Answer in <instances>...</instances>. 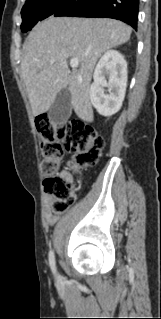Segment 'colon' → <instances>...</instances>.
<instances>
[{
    "instance_id": "colon-1",
    "label": "colon",
    "mask_w": 161,
    "mask_h": 319,
    "mask_svg": "<svg viewBox=\"0 0 161 319\" xmlns=\"http://www.w3.org/2000/svg\"><path fill=\"white\" fill-rule=\"evenodd\" d=\"M36 131L42 155L43 185L52 196L50 210L54 215L64 214L75 201V189L70 176L60 171L65 152L74 154L71 169L96 162L104 146L103 138L96 131L79 121L54 122L41 118Z\"/></svg>"
}]
</instances>
